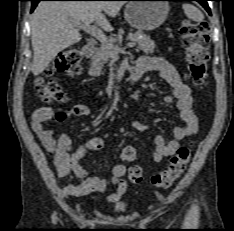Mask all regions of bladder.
Listing matches in <instances>:
<instances>
[{
  "mask_svg": "<svg viewBox=\"0 0 234 231\" xmlns=\"http://www.w3.org/2000/svg\"><path fill=\"white\" fill-rule=\"evenodd\" d=\"M129 208H130V204L126 201L118 202L114 206V210L117 212H124V211H127Z\"/></svg>",
  "mask_w": 234,
  "mask_h": 231,
  "instance_id": "bladder-1",
  "label": "bladder"
}]
</instances>
